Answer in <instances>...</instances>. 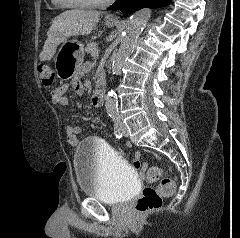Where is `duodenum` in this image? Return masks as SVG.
<instances>
[{
	"mask_svg": "<svg viewBox=\"0 0 240 238\" xmlns=\"http://www.w3.org/2000/svg\"><path fill=\"white\" fill-rule=\"evenodd\" d=\"M105 99V88L100 86L93 94L92 103L95 106H101Z\"/></svg>",
	"mask_w": 240,
	"mask_h": 238,
	"instance_id": "410a0bca",
	"label": "duodenum"
}]
</instances>
